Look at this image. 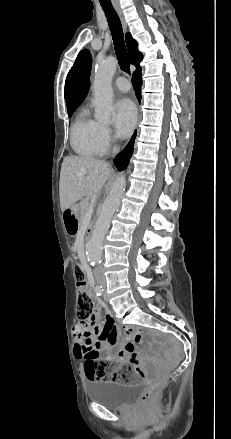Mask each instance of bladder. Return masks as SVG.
<instances>
[{
    "mask_svg": "<svg viewBox=\"0 0 231 439\" xmlns=\"http://www.w3.org/2000/svg\"><path fill=\"white\" fill-rule=\"evenodd\" d=\"M141 393V385L116 384L105 380L92 381L87 386L90 400L103 404L109 409L122 408L134 401Z\"/></svg>",
    "mask_w": 231,
    "mask_h": 439,
    "instance_id": "bladder-1",
    "label": "bladder"
}]
</instances>
